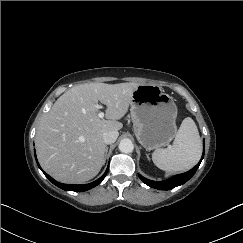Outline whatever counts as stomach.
Here are the masks:
<instances>
[{
	"instance_id": "stomach-1",
	"label": "stomach",
	"mask_w": 243,
	"mask_h": 243,
	"mask_svg": "<svg viewBox=\"0 0 243 243\" xmlns=\"http://www.w3.org/2000/svg\"><path fill=\"white\" fill-rule=\"evenodd\" d=\"M130 113L134 134L146 150L166 146L177 133L176 104L158 85H138L132 94Z\"/></svg>"
}]
</instances>
